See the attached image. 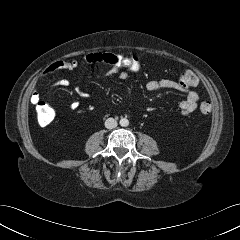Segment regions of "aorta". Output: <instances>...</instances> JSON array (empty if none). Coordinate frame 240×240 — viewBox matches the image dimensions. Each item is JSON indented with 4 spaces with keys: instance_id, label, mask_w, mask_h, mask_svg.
Instances as JSON below:
<instances>
[{
    "instance_id": "aorta-1",
    "label": "aorta",
    "mask_w": 240,
    "mask_h": 240,
    "mask_svg": "<svg viewBox=\"0 0 240 240\" xmlns=\"http://www.w3.org/2000/svg\"><path fill=\"white\" fill-rule=\"evenodd\" d=\"M120 125L122 126V127H126V126H128L129 125V120L128 119H126V118H122V119H120Z\"/></svg>"
}]
</instances>
